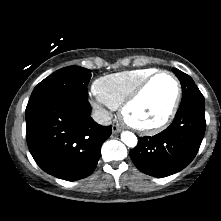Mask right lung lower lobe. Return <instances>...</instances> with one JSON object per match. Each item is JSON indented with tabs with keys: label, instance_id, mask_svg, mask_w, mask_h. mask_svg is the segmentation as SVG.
Here are the masks:
<instances>
[{
	"label": "right lung lower lobe",
	"instance_id": "98d812e1",
	"mask_svg": "<svg viewBox=\"0 0 221 221\" xmlns=\"http://www.w3.org/2000/svg\"><path fill=\"white\" fill-rule=\"evenodd\" d=\"M25 114L28 148L43 171L69 181L94 171L112 126H101L90 117L87 99L48 100L27 107Z\"/></svg>",
	"mask_w": 221,
	"mask_h": 221
}]
</instances>
